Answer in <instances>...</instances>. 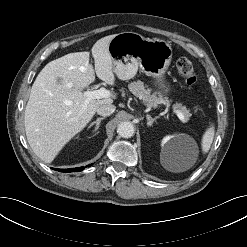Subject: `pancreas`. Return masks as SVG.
Here are the masks:
<instances>
[{"instance_id":"pancreas-1","label":"pancreas","mask_w":247,"mask_h":247,"mask_svg":"<svg viewBox=\"0 0 247 247\" xmlns=\"http://www.w3.org/2000/svg\"><path fill=\"white\" fill-rule=\"evenodd\" d=\"M128 88L136 97L141 99L147 107H157L160 104H169L167 98H164L161 95L157 96L155 93L151 94V90L146 89L144 83L141 81L131 82L128 85ZM175 108L183 113L185 121L191 116L190 111L181 104H175Z\"/></svg>"}]
</instances>
